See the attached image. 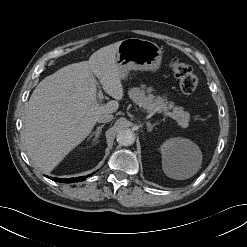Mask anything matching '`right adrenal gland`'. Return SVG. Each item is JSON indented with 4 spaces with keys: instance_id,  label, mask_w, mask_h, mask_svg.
I'll list each match as a JSON object with an SVG mask.
<instances>
[{
    "instance_id": "right-adrenal-gland-1",
    "label": "right adrenal gland",
    "mask_w": 247,
    "mask_h": 247,
    "mask_svg": "<svg viewBox=\"0 0 247 247\" xmlns=\"http://www.w3.org/2000/svg\"><path fill=\"white\" fill-rule=\"evenodd\" d=\"M104 126H105V124H102L101 126H98L97 129H96V131H94V132L89 136V138H91L92 136L95 135L93 141H96V140L99 138V136H100V134H101V132H102V128H103Z\"/></svg>"
}]
</instances>
